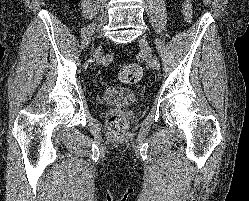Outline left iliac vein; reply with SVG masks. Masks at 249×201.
<instances>
[{
  "label": "left iliac vein",
  "instance_id": "obj_1",
  "mask_svg": "<svg viewBox=\"0 0 249 201\" xmlns=\"http://www.w3.org/2000/svg\"><path fill=\"white\" fill-rule=\"evenodd\" d=\"M139 46L141 49V53L144 56L149 67L152 69H155L156 68L155 57L153 56V53H152V50H151L149 43L147 42V40L144 37L140 38Z\"/></svg>",
  "mask_w": 249,
  "mask_h": 201
}]
</instances>
